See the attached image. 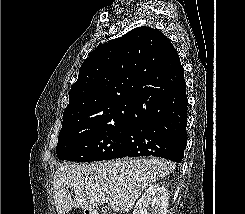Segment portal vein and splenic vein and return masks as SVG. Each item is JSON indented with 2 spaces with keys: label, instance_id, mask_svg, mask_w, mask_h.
<instances>
[{
  "label": "portal vein and splenic vein",
  "instance_id": "18ae733b",
  "mask_svg": "<svg viewBox=\"0 0 245 214\" xmlns=\"http://www.w3.org/2000/svg\"><path fill=\"white\" fill-rule=\"evenodd\" d=\"M117 198V196H113V199H116Z\"/></svg>",
  "mask_w": 245,
  "mask_h": 214
}]
</instances>
